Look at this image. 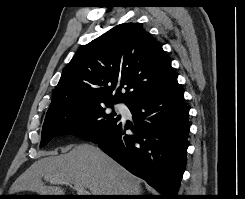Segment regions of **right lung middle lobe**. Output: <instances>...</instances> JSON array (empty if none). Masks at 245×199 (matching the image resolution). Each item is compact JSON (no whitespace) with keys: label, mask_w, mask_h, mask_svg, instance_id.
I'll use <instances>...</instances> for the list:
<instances>
[{"label":"right lung middle lobe","mask_w":245,"mask_h":199,"mask_svg":"<svg viewBox=\"0 0 245 199\" xmlns=\"http://www.w3.org/2000/svg\"><path fill=\"white\" fill-rule=\"evenodd\" d=\"M114 102L78 104L61 109L46 116L40 147L45 146L58 135L73 134L85 140L98 136L121 117L109 112L106 107H113Z\"/></svg>","instance_id":"1"}]
</instances>
